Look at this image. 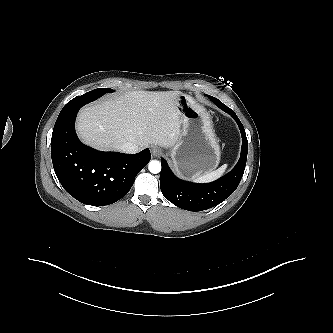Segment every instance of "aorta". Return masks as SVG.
Wrapping results in <instances>:
<instances>
[{
  "instance_id": "obj_1",
  "label": "aorta",
  "mask_w": 333,
  "mask_h": 333,
  "mask_svg": "<svg viewBox=\"0 0 333 333\" xmlns=\"http://www.w3.org/2000/svg\"><path fill=\"white\" fill-rule=\"evenodd\" d=\"M148 169L151 173L157 174L161 171V163L158 160H152L148 164Z\"/></svg>"
}]
</instances>
